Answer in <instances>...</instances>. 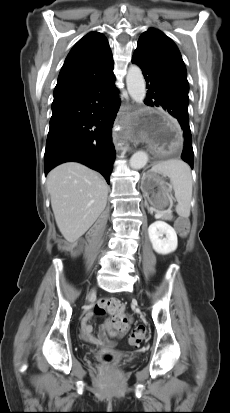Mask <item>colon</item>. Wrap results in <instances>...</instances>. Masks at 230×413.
Instances as JSON below:
<instances>
[{"mask_svg":"<svg viewBox=\"0 0 230 413\" xmlns=\"http://www.w3.org/2000/svg\"><path fill=\"white\" fill-rule=\"evenodd\" d=\"M176 229L180 235H186L188 231V224L184 218L178 219L176 222ZM61 246L68 250L72 251V247L67 243H62ZM94 311L97 315H103L109 313L113 316L121 315L124 312L123 303L117 298H108L99 300L94 307ZM146 336V328L144 326H136L130 337L129 342L132 345L140 344ZM106 360H110V356H106Z\"/></svg>","mask_w":230,"mask_h":413,"instance_id":"5ec220e1","label":"colon"}]
</instances>
